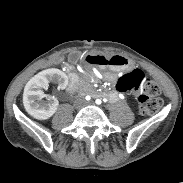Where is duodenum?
Returning <instances> with one entry per match:
<instances>
[{
	"label": "duodenum",
	"mask_w": 183,
	"mask_h": 183,
	"mask_svg": "<svg viewBox=\"0 0 183 183\" xmlns=\"http://www.w3.org/2000/svg\"><path fill=\"white\" fill-rule=\"evenodd\" d=\"M78 79L75 75H70V82L68 85L69 91H74L77 86Z\"/></svg>",
	"instance_id": "duodenum-1"
}]
</instances>
